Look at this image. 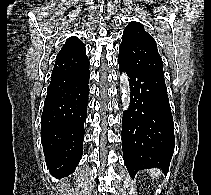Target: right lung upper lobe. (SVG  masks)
Returning a JSON list of instances; mask_svg holds the SVG:
<instances>
[{
	"label": "right lung upper lobe",
	"instance_id": "1",
	"mask_svg": "<svg viewBox=\"0 0 211 195\" xmlns=\"http://www.w3.org/2000/svg\"><path fill=\"white\" fill-rule=\"evenodd\" d=\"M86 49L77 37H70L56 57L52 78L77 71L89 63Z\"/></svg>",
	"mask_w": 211,
	"mask_h": 195
}]
</instances>
